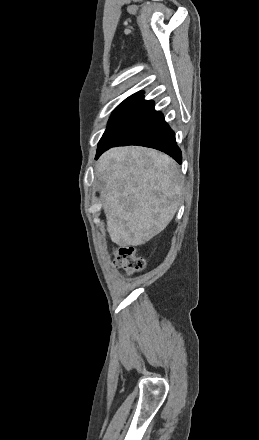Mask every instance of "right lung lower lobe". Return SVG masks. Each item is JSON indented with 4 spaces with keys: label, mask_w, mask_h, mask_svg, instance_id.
<instances>
[{
    "label": "right lung lower lobe",
    "mask_w": 259,
    "mask_h": 440,
    "mask_svg": "<svg viewBox=\"0 0 259 440\" xmlns=\"http://www.w3.org/2000/svg\"><path fill=\"white\" fill-rule=\"evenodd\" d=\"M140 145L155 148L174 158L179 164L182 155L175 134L161 112L154 110L153 101L142 102L108 136L100 140L96 159L114 146Z\"/></svg>",
    "instance_id": "98d812e1"
}]
</instances>
